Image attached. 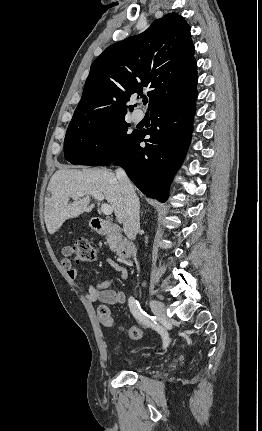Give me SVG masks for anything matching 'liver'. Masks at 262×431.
Instances as JSON below:
<instances>
[{
    "instance_id": "liver-1",
    "label": "liver",
    "mask_w": 262,
    "mask_h": 431,
    "mask_svg": "<svg viewBox=\"0 0 262 431\" xmlns=\"http://www.w3.org/2000/svg\"><path fill=\"white\" fill-rule=\"evenodd\" d=\"M48 191L51 197L45 200L44 218L50 234H54L67 219L92 210L91 192L102 193L114 210L118 222L123 221L124 192L111 171L99 168L59 169L51 177ZM81 192L86 195L75 198ZM70 198H74V202L69 203Z\"/></svg>"
}]
</instances>
